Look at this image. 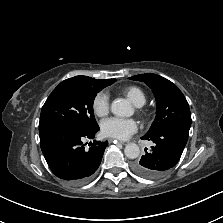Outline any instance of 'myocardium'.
<instances>
[{"mask_svg": "<svg viewBox=\"0 0 223 223\" xmlns=\"http://www.w3.org/2000/svg\"><path fill=\"white\" fill-rule=\"evenodd\" d=\"M138 111L142 115H145L146 114L145 110L141 109L140 106H138Z\"/></svg>", "mask_w": 223, "mask_h": 223, "instance_id": "1", "label": "myocardium"}]
</instances>
